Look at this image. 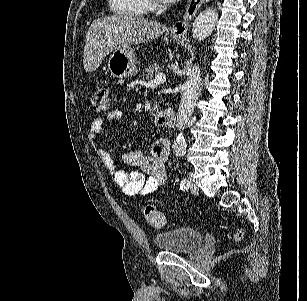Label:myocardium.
I'll use <instances>...</instances> for the list:
<instances>
[{
  "instance_id": "obj_1",
  "label": "myocardium",
  "mask_w": 307,
  "mask_h": 301,
  "mask_svg": "<svg viewBox=\"0 0 307 301\" xmlns=\"http://www.w3.org/2000/svg\"><path fill=\"white\" fill-rule=\"evenodd\" d=\"M153 12H165V10L158 1H154L149 10L146 12L145 17H153Z\"/></svg>"
}]
</instances>
